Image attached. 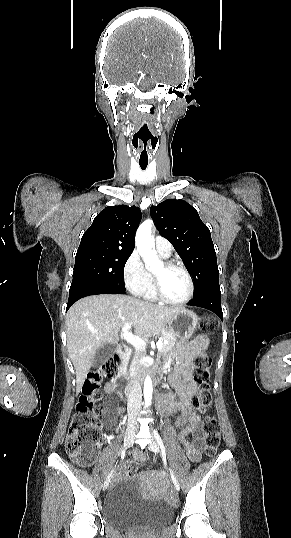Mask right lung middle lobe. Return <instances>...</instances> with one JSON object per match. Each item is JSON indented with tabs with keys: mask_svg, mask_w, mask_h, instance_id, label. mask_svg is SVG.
I'll return each mask as SVG.
<instances>
[{
	"mask_svg": "<svg viewBox=\"0 0 291 538\" xmlns=\"http://www.w3.org/2000/svg\"><path fill=\"white\" fill-rule=\"evenodd\" d=\"M131 254L108 249L77 251L70 291L83 287L125 290L124 266Z\"/></svg>",
	"mask_w": 291,
	"mask_h": 538,
	"instance_id": "1",
	"label": "right lung middle lobe"
}]
</instances>
